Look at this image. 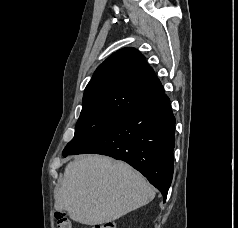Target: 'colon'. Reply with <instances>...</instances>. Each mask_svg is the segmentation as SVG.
I'll return each instance as SVG.
<instances>
[{
  "label": "colon",
  "instance_id": "1",
  "mask_svg": "<svg viewBox=\"0 0 238 228\" xmlns=\"http://www.w3.org/2000/svg\"><path fill=\"white\" fill-rule=\"evenodd\" d=\"M57 228H72V223L63 212L56 213ZM91 228H116L113 222L95 225Z\"/></svg>",
  "mask_w": 238,
  "mask_h": 228
}]
</instances>
